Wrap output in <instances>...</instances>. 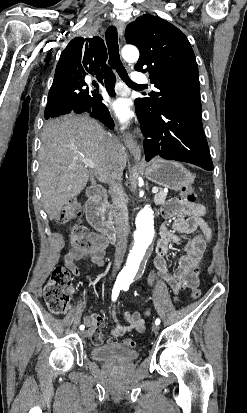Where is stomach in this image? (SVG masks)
I'll return each instance as SVG.
<instances>
[{"label":"stomach","instance_id":"1","mask_svg":"<svg viewBox=\"0 0 247 413\" xmlns=\"http://www.w3.org/2000/svg\"><path fill=\"white\" fill-rule=\"evenodd\" d=\"M145 174L152 182L172 190H181L183 186L193 184L195 178L194 174L180 162L163 160V158H155L150 162L145 168Z\"/></svg>","mask_w":247,"mask_h":413}]
</instances>
